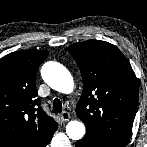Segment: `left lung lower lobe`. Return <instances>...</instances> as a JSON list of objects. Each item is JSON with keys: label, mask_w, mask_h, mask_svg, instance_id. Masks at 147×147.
<instances>
[{"label": "left lung lower lobe", "mask_w": 147, "mask_h": 147, "mask_svg": "<svg viewBox=\"0 0 147 147\" xmlns=\"http://www.w3.org/2000/svg\"><path fill=\"white\" fill-rule=\"evenodd\" d=\"M76 147H99L94 143L88 141L86 138H82L76 142Z\"/></svg>", "instance_id": "1"}]
</instances>
